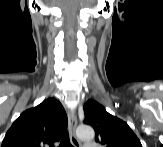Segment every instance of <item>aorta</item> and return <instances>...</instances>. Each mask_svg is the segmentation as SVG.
<instances>
[{"label":"aorta","mask_w":163,"mask_h":147,"mask_svg":"<svg viewBox=\"0 0 163 147\" xmlns=\"http://www.w3.org/2000/svg\"><path fill=\"white\" fill-rule=\"evenodd\" d=\"M76 135L80 140H93L94 139V130L89 125H80L76 130Z\"/></svg>","instance_id":"762f6f07"}]
</instances>
